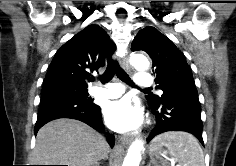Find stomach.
<instances>
[{
    "mask_svg": "<svg viewBox=\"0 0 236 166\" xmlns=\"http://www.w3.org/2000/svg\"><path fill=\"white\" fill-rule=\"evenodd\" d=\"M160 151L155 149L152 144L150 145V150H149V155H150V158H151V163H152V166H161V162L158 161L160 159ZM163 164V163H162Z\"/></svg>",
    "mask_w": 236,
    "mask_h": 166,
    "instance_id": "obj_1",
    "label": "stomach"
}]
</instances>
